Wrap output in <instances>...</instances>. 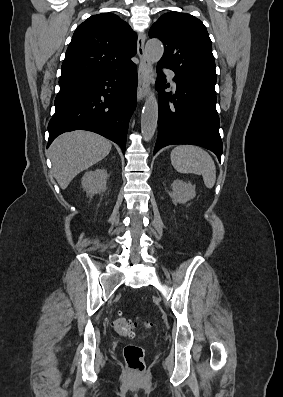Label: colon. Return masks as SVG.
Masks as SVG:
<instances>
[{
    "label": "colon",
    "mask_w": 283,
    "mask_h": 397,
    "mask_svg": "<svg viewBox=\"0 0 283 397\" xmlns=\"http://www.w3.org/2000/svg\"><path fill=\"white\" fill-rule=\"evenodd\" d=\"M137 326V322L126 319L119 314L113 321L114 329L121 335L133 336V329ZM148 329L149 325H145ZM124 359L128 369L134 374H140L144 371V349L135 344H128L124 348Z\"/></svg>",
    "instance_id": "5ec220e1"
}]
</instances>
